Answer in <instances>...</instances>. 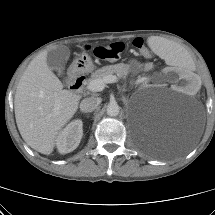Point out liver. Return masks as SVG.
I'll return each mask as SVG.
<instances>
[{
	"mask_svg": "<svg viewBox=\"0 0 215 215\" xmlns=\"http://www.w3.org/2000/svg\"><path fill=\"white\" fill-rule=\"evenodd\" d=\"M80 98L63 89L47 65V51L38 54L21 76L14 99L17 127L27 145L42 154L52 153L57 135L77 111Z\"/></svg>",
	"mask_w": 215,
	"mask_h": 215,
	"instance_id": "liver-1",
	"label": "liver"
}]
</instances>
